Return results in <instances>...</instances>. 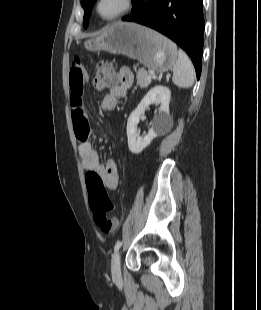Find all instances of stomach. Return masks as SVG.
Here are the masks:
<instances>
[{
  "mask_svg": "<svg viewBox=\"0 0 261 310\" xmlns=\"http://www.w3.org/2000/svg\"><path fill=\"white\" fill-rule=\"evenodd\" d=\"M84 47L88 51L126 55L155 72L170 70L178 56L176 45L166 37L142 25L121 21L86 40Z\"/></svg>",
  "mask_w": 261,
  "mask_h": 310,
  "instance_id": "obj_1",
  "label": "stomach"
}]
</instances>
